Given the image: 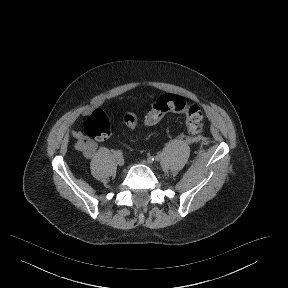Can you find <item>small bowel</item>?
<instances>
[{"label": "small bowel", "instance_id": "small-bowel-1", "mask_svg": "<svg viewBox=\"0 0 288 288\" xmlns=\"http://www.w3.org/2000/svg\"><path fill=\"white\" fill-rule=\"evenodd\" d=\"M82 152L86 158H92L95 153V144L90 142L88 147Z\"/></svg>", "mask_w": 288, "mask_h": 288}]
</instances>
